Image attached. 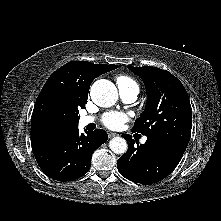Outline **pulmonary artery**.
<instances>
[{
    "label": "pulmonary artery",
    "instance_id": "obj_1",
    "mask_svg": "<svg viewBox=\"0 0 221 221\" xmlns=\"http://www.w3.org/2000/svg\"><path fill=\"white\" fill-rule=\"evenodd\" d=\"M120 97L128 103L134 102L137 99L139 89L133 85L123 83V82H117ZM95 121V117L93 116H82L79 120L81 126H86L90 123H93ZM147 140L146 137L142 138V143H144Z\"/></svg>",
    "mask_w": 221,
    "mask_h": 221
}]
</instances>
